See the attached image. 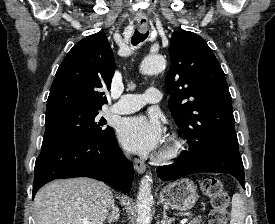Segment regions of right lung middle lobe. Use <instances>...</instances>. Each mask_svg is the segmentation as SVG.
I'll return each instance as SVG.
<instances>
[{"instance_id":"dd1d6c3e","label":"right lung middle lobe","mask_w":275,"mask_h":224,"mask_svg":"<svg viewBox=\"0 0 275 224\" xmlns=\"http://www.w3.org/2000/svg\"><path fill=\"white\" fill-rule=\"evenodd\" d=\"M99 110L70 107L46 113L43 142L98 141L108 136L112 129L98 116Z\"/></svg>"}]
</instances>
